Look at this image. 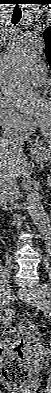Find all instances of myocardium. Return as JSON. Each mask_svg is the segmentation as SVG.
Listing matches in <instances>:
<instances>
[{"label": "myocardium", "mask_w": 51, "mask_h": 393, "mask_svg": "<svg viewBox=\"0 0 51 393\" xmlns=\"http://www.w3.org/2000/svg\"><path fill=\"white\" fill-rule=\"evenodd\" d=\"M39 128L44 136H51V131L46 130L42 125H39Z\"/></svg>", "instance_id": "obj_1"}]
</instances>
